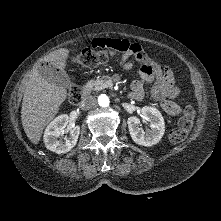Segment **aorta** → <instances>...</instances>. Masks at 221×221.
<instances>
[{
  "instance_id": "aorta-1",
  "label": "aorta",
  "mask_w": 221,
  "mask_h": 221,
  "mask_svg": "<svg viewBox=\"0 0 221 221\" xmlns=\"http://www.w3.org/2000/svg\"><path fill=\"white\" fill-rule=\"evenodd\" d=\"M98 103L101 107H107L110 103V100L108 98L107 95L105 94H101L99 97H98Z\"/></svg>"
}]
</instances>
